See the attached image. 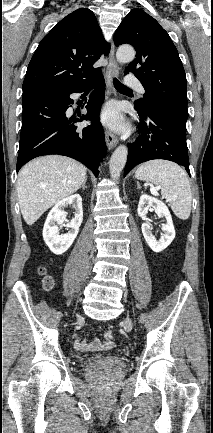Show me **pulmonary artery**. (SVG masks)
<instances>
[{
	"instance_id": "obj_1",
	"label": "pulmonary artery",
	"mask_w": 213,
	"mask_h": 433,
	"mask_svg": "<svg viewBox=\"0 0 213 433\" xmlns=\"http://www.w3.org/2000/svg\"><path fill=\"white\" fill-rule=\"evenodd\" d=\"M125 84L130 87H134L138 90L139 93L143 94L145 92L143 86L139 82V80L133 76L132 74H129L125 78Z\"/></svg>"
}]
</instances>
